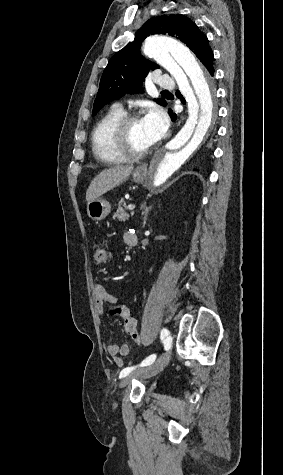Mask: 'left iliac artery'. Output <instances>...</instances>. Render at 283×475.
<instances>
[{
	"label": "left iliac artery",
	"mask_w": 283,
	"mask_h": 475,
	"mask_svg": "<svg viewBox=\"0 0 283 475\" xmlns=\"http://www.w3.org/2000/svg\"><path fill=\"white\" fill-rule=\"evenodd\" d=\"M168 334H169V331L167 329L163 328L161 330V339L164 340ZM155 359H156V355L152 354L149 357H147L145 360H143V362L139 366H141V367L148 366V365L152 364L155 361ZM135 368L136 367H128V368L123 369L120 372V378H123V377L129 375V373H131Z\"/></svg>",
	"instance_id": "1"
}]
</instances>
